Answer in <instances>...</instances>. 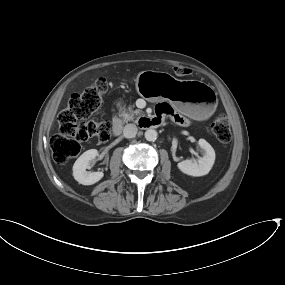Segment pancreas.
Returning <instances> with one entry per match:
<instances>
[{
  "label": "pancreas",
  "instance_id": "cf45deb5",
  "mask_svg": "<svg viewBox=\"0 0 285 285\" xmlns=\"http://www.w3.org/2000/svg\"><path fill=\"white\" fill-rule=\"evenodd\" d=\"M133 105L126 108L119 105V117L122 122L134 121L137 122L139 117L143 115V112L139 109L133 110ZM137 116V117H135ZM136 118V119H135Z\"/></svg>",
  "mask_w": 285,
  "mask_h": 285
}]
</instances>
